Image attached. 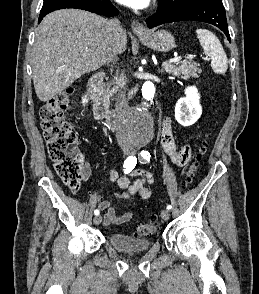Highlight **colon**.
I'll return each mask as SVG.
<instances>
[{"label":"colon","mask_w":259,"mask_h":294,"mask_svg":"<svg viewBox=\"0 0 259 294\" xmlns=\"http://www.w3.org/2000/svg\"><path fill=\"white\" fill-rule=\"evenodd\" d=\"M73 89H65L41 108V126L47 142L48 152L60 179L71 189L78 190L82 180V155L77 148V137L72 126L64 119V110L69 104ZM208 140H204L185 174L183 184L189 185L207 152ZM158 230L156 219L137 225V236H151Z\"/></svg>","instance_id":"5ec220e1"}]
</instances>
